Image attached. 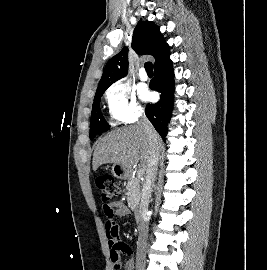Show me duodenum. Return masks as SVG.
Returning <instances> with one entry per match:
<instances>
[{
    "label": "duodenum",
    "mask_w": 267,
    "mask_h": 270,
    "mask_svg": "<svg viewBox=\"0 0 267 270\" xmlns=\"http://www.w3.org/2000/svg\"><path fill=\"white\" fill-rule=\"evenodd\" d=\"M146 217V211L143 210L141 207H137L135 209V218L138 224L143 223L144 219Z\"/></svg>",
    "instance_id": "duodenum-1"
}]
</instances>
